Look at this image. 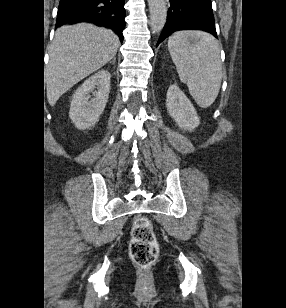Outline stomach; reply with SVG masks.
Wrapping results in <instances>:
<instances>
[{
	"instance_id": "obj_1",
	"label": "stomach",
	"mask_w": 286,
	"mask_h": 308,
	"mask_svg": "<svg viewBox=\"0 0 286 308\" xmlns=\"http://www.w3.org/2000/svg\"><path fill=\"white\" fill-rule=\"evenodd\" d=\"M189 41H190V43H194L195 39L191 38Z\"/></svg>"
}]
</instances>
